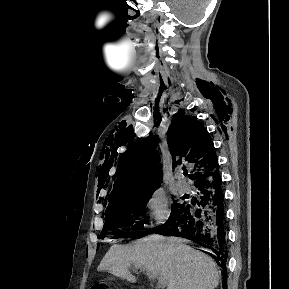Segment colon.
I'll list each match as a JSON object with an SVG mask.
<instances>
[{
	"label": "colon",
	"mask_w": 289,
	"mask_h": 289,
	"mask_svg": "<svg viewBox=\"0 0 289 289\" xmlns=\"http://www.w3.org/2000/svg\"><path fill=\"white\" fill-rule=\"evenodd\" d=\"M91 289H108L107 286L103 283H94Z\"/></svg>",
	"instance_id": "obj_1"
}]
</instances>
